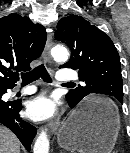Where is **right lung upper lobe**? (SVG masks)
I'll list each match as a JSON object with an SVG mask.
<instances>
[{
	"label": "right lung upper lobe",
	"mask_w": 130,
	"mask_h": 153,
	"mask_svg": "<svg viewBox=\"0 0 130 153\" xmlns=\"http://www.w3.org/2000/svg\"><path fill=\"white\" fill-rule=\"evenodd\" d=\"M45 28L16 13L0 18V88L15 86L19 71L30 70L46 42Z\"/></svg>",
	"instance_id": "right-lung-upper-lobe-1"
}]
</instances>
